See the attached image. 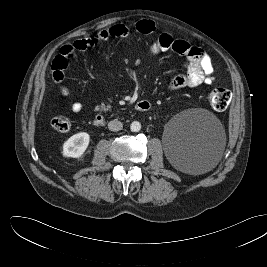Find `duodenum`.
<instances>
[{"label": "duodenum", "mask_w": 267, "mask_h": 267, "mask_svg": "<svg viewBox=\"0 0 267 267\" xmlns=\"http://www.w3.org/2000/svg\"><path fill=\"white\" fill-rule=\"evenodd\" d=\"M150 108H151L150 102L145 101V100H141V101L137 102L135 105V109L137 111H140V112L148 111V110H150ZM93 122H94V125H96V126H104L106 124V118H105V116L98 114L94 118Z\"/></svg>", "instance_id": "1"}]
</instances>
